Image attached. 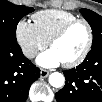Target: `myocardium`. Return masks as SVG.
Masks as SVG:
<instances>
[{
  "mask_svg": "<svg viewBox=\"0 0 102 102\" xmlns=\"http://www.w3.org/2000/svg\"><path fill=\"white\" fill-rule=\"evenodd\" d=\"M77 24H83L86 27L88 32L87 43L82 53L75 60L62 63L63 66L67 68H72L80 65L89 54L93 42V30L90 24L84 19H75L73 21H70L67 24H65L58 32H56L48 42L49 47L51 48L54 43L62 39L67 34V32Z\"/></svg>",
  "mask_w": 102,
  "mask_h": 102,
  "instance_id": "obj_1",
  "label": "myocardium"
}]
</instances>
